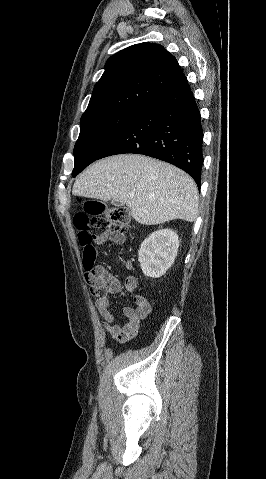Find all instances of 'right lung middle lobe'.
<instances>
[{"instance_id": "1", "label": "right lung middle lobe", "mask_w": 266, "mask_h": 479, "mask_svg": "<svg viewBox=\"0 0 266 479\" xmlns=\"http://www.w3.org/2000/svg\"><path fill=\"white\" fill-rule=\"evenodd\" d=\"M141 109H116L81 118L80 135L74 147V169L78 175L97 160L109 143L139 114Z\"/></svg>"}]
</instances>
